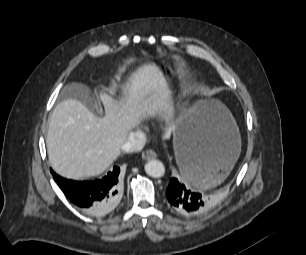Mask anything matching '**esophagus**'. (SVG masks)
<instances>
[{
	"mask_svg": "<svg viewBox=\"0 0 306 255\" xmlns=\"http://www.w3.org/2000/svg\"><path fill=\"white\" fill-rule=\"evenodd\" d=\"M156 157H157V154L152 149H148L142 153V158L144 160H151V159H155Z\"/></svg>",
	"mask_w": 306,
	"mask_h": 255,
	"instance_id": "1",
	"label": "esophagus"
}]
</instances>
